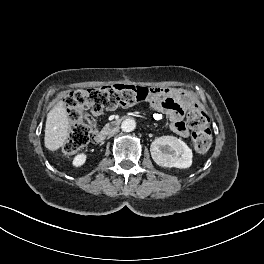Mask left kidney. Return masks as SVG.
<instances>
[{
  "mask_svg": "<svg viewBox=\"0 0 264 264\" xmlns=\"http://www.w3.org/2000/svg\"><path fill=\"white\" fill-rule=\"evenodd\" d=\"M150 152L153 160L162 167L186 169L192 165V150L174 136L156 138Z\"/></svg>",
  "mask_w": 264,
  "mask_h": 264,
  "instance_id": "1",
  "label": "left kidney"
}]
</instances>
